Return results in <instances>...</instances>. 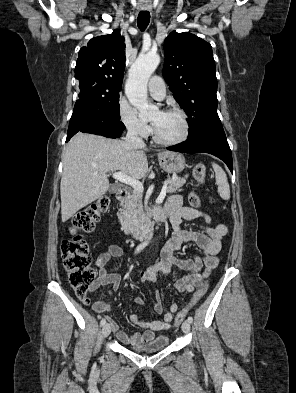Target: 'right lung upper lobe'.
<instances>
[{
  "instance_id": "right-lung-upper-lobe-1",
  "label": "right lung upper lobe",
  "mask_w": 296,
  "mask_h": 393,
  "mask_svg": "<svg viewBox=\"0 0 296 393\" xmlns=\"http://www.w3.org/2000/svg\"><path fill=\"white\" fill-rule=\"evenodd\" d=\"M125 69L124 38L118 30L92 38L80 49L75 78L92 80L111 89L121 90Z\"/></svg>"
}]
</instances>
